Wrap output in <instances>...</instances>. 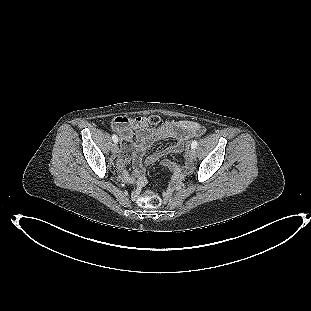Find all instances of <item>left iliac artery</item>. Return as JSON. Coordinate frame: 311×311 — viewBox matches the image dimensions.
Here are the masks:
<instances>
[{
	"label": "left iliac artery",
	"instance_id": "left-iliac-artery-1",
	"mask_svg": "<svg viewBox=\"0 0 311 311\" xmlns=\"http://www.w3.org/2000/svg\"><path fill=\"white\" fill-rule=\"evenodd\" d=\"M197 141L196 140H194L192 143H191V148L192 149H195L196 147H197Z\"/></svg>",
	"mask_w": 311,
	"mask_h": 311
}]
</instances>
